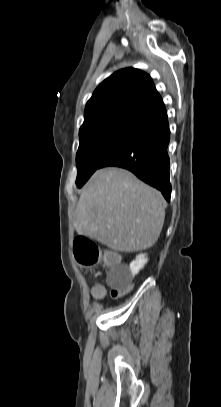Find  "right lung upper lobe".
Segmentation results:
<instances>
[{"instance_id": "right-lung-upper-lobe-1", "label": "right lung upper lobe", "mask_w": 221, "mask_h": 407, "mask_svg": "<svg viewBox=\"0 0 221 407\" xmlns=\"http://www.w3.org/2000/svg\"><path fill=\"white\" fill-rule=\"evenodd\" d=\"M164 108L148 74L134 68L122 69L104 80L87 102L79 137L114 125L139 126Z\"/></svg>"}]
</instances>
